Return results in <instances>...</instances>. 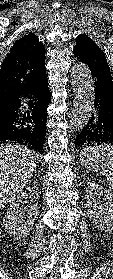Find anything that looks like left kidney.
Instances as JSON below:
<instances>
[{
    "instance_id": "5707ae66",
    "label": "left kidney",
    "mask_w": 113,
    "mask_h": 279,
    "mask_svg": "<svg viewBox=\"0 0 113 279\" xmlns=\"http://www.w3.org/2000/svg\"><path fill=\"white\" fill-rule=\"evenodd\" d=\"M87 215L101 231H113V192L96 181L87 182L84 194Z\"/></svg>"
}]
</instances>
